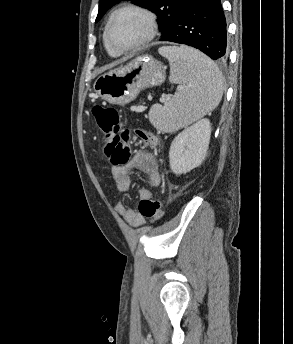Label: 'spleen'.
I'll return each mask as SVG.
<instances>
[{"mask_svg": "<svg viewBox=\"0 0 293 344\" xmlns=\"http://www.w3.org/2000/svg\"><path fill=\"white\" fill-rule=\"evenodd\" d=\"M159 53L170 63V81L180 85L164 106L150 108L149 120L158 130L171 133L191 124L220 103L224 78L206 55L187 46H164Z\"/></svg>", "mask_w": 293, "mask_h": 344, "instance_id": "spleen-1", "label": "spleen"}]
</instances>
